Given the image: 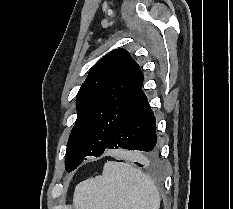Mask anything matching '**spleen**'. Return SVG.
I'll return each instance as SVG.
<instances>
[{"instance_id":"1","label":"spleen","mask_w":233,"mask_h":209,"mask_svg":"<svg viewBox=\"0 0 233 209\" xmlns=\"http://www.w3.org/2000/svg\"><path fill=\"white\" fill-rule=\"evenodd\" d=\"M75 209H159L160 195L151 178L128 163L109 161L102 175L80 182Z\"/></svg>"}]
</instances>
